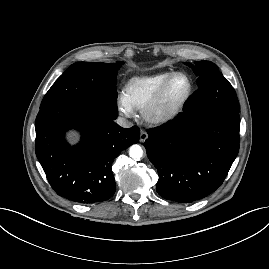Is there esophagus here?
I'll list each match as a JSON object with an SVG mask.
<instances>
[{
    "mask_svg": "<svg viewBox=\"0 0 269 269\" xmlns=\"http://www.w3.org/2000/svg\"><path fill=\"white\" fill-rule=\"evenodd\" d=\"M147 138H148V133L146 131H144V130H141L140 142H145Z\"/></svg>",
    "mask_w": 269,
    "mask_h": 269,
    "instance_id": "1",
    "label": "esophagus"
}]
</instances>
